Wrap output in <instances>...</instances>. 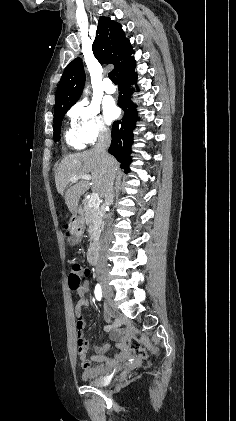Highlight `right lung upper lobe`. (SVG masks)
Here are the masks:
<instances>
[{"label":"right lung upper lobe","mask_w":236,"mask_h":421,"mask_svg":"<svg viewBox=\"0 0 236 421\" xmlns=\"http://www.w3.org/2000/svg\"><path fill=\"white\" fill-rule=\"evenodd\" d=\"M92 45L93 54L102 64H113L115 74L129 64L133 57L131 44L120 24L108 17H100ZM85 82L81 58L74 59L65 69L58 85L54 110L70 106L80 97Z\"/></svg>","instance_id":"right-lung-upper-lobe-1"}]
</instances>
